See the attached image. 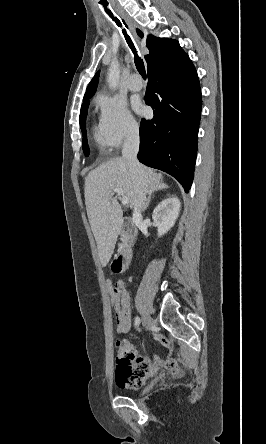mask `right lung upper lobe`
Wrapping results in <instances>:
<instances>
[{
	"label": "right lung upper lobe",
	"mask_w": 266,
	"mask_h": 444,
	"mask_svg": "<svg viewBox=\"0 0 266 444\" xmlns=\"http://www.w3.org/2000/svg\"><path fill=\"white\" fill-rule=\"evenodd\" d=\"M137 33L140 37H143L141 31L137 30ZM146 46L150 51V53L145 56L148 70L172 63L185 55L178 41L172 39L157 38L150 35L147 38ZM99 73L98 71L89 83L83 98L84 102L88 101L94 95L98 85Z\"/></svg>",
	"instance_id": "1"
}]
</instances>
